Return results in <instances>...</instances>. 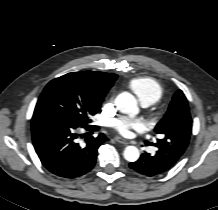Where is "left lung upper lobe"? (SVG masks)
<instances>
[{
    "mask_svg": "<svg viewBox=\"0 0 218 210\" xmlns=\"http://www.w3.org/2000/svg\"><path fill=\"white\" fill-rule=\"evenodd\" d=\"M154 131L160 134L156 145L165 154L184 153L192 132V119L188 101L181 90L174 94L167 113L156 125Z\"/></svg>",
    "mask_w": 218,
    "mask_h": 210,
    "instance_id": "obj_1",
    "label": "left lung upper lobe"
}]
</instances>
